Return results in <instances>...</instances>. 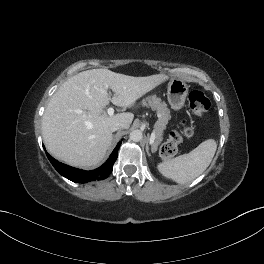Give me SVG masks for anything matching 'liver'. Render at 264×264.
<instances>
[{
    "label": "liver",
    "mask_w": 264,
    "mask_h": 264,
    "mask_svg": "<svg viewBox=\"0 0 264 264\" xmlns=\"http://www.w3.org/2000/svg\"><path fill=\"white\" fill-rule=\"evenodd\" d=\"M166 79L163 74L133 77L108 69L87 70L69 78L51 97L42 118L47 150L71 166H96L111 145L112 126L124 123L127 129L134 119L129 112L109 116L104 108L110 101L132 107Z\"/></svg>",
    "instance_id": "1"
}]
</instances>
